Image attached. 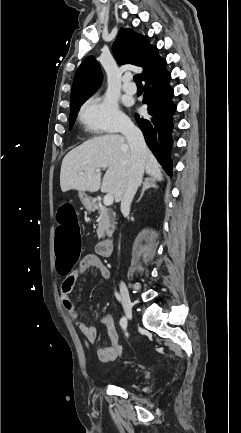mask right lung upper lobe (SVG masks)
<instances>
[{
	"label": "right lung upper lobe",
	"instance_id": "cb5924a9",
	"mask_svg": "<svg viewBox=\"0 0 241 433\" xmlns=\"http://www.w3.org/2000/svg\"><path fill=\"white\" fill-rule=\"evenodd\" d=\"M116 58L121 63H130L143 68L142 80L156 73L166 60L158 54L156 46L149 44L148 37L140 35L129 28H121L112 46ZM100 67L93 56L87 57L76 71L72 91L71 107L79 101L87 100L101 83Z\"/></svg>",
	"mask_w": 241,
	"mask_h": 433
}]
</instances>
